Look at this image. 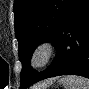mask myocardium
I'll return each mask as SVG.
<instances>
[{"instance_id":"f54148a6","label":"myocardium","mask_w":89,"mask_h":89,"mask_svg":"<svg viewBox=\"0 0 89 89\" xmlns=\"http://www.w3.org/2000/svg\"><path fill=\"white\" fill-rule=\"evenodd\" d=\"M55 51V45L49 40L38 43L30 54L29 62L31 68L41 69L46 67L52 61Z\"/></svg>"}]
</instances>
